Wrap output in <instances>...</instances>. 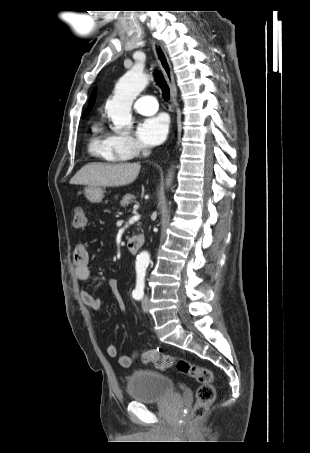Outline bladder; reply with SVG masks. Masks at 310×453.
<instances>
[{"label": "bladder", "instance_id": "31cf9c89", "mask_svg": "<svg viewBox=\"0 0 310 453\" xmlns=\"http://www.w3.org/2000/svg\"><path fill=\"white\" fill-rule=\"evenodd\" d=\"M130 399L139 403L165 400L175 394L173 381L165 374L151 370H136L126 382Z\"/></svg>", "mask_w": 310, "mask_h": 453}]
</instances>
